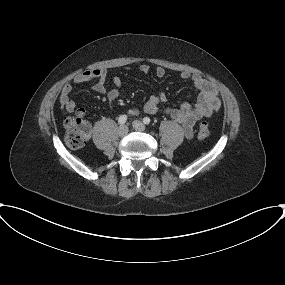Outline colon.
Here are the masks:
<instances>
[{
    "instance_id": "obj_1",
    "label": "colon",
    "mask_w": 285,
    "mask_h": 285,
    "mask_svg": "<svg viewBox=\"0 0 285 285\" xmlns=\"http://www.w3.org/2000/svg\"><path fill=\"white\" fill-rule=\"evenodd\" d=\"M65 142L68 147L77 149L83 147L88 141L91 133V125L85 119L83 114H77L75 117H69L64 120ZM210 135V129L207 122L200 123L198 136L205 139Z\"/></svg>"
}]
</instances>
